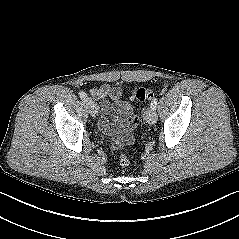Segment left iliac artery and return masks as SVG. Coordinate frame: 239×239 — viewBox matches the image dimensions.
Instances as JSON below:
<instances>
[{"mask_svg":"<svg viewBox=\"0 0 239 239\" xmlns=\"http://www.w3.org/2000/svg\"><path fill=\"white\" fill-rule=\"evenodd\" d=\"M157 102H158V98H156V97L153 98V100L151 101V104H150L151 108L156 109Z\"/></svg>","mask_w":239,"mask_h":239,"instance_id":"1","label":"left iliac artery"}]
</instances>
